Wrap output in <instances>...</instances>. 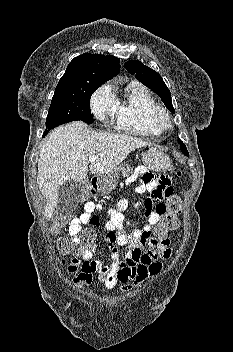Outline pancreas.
<instances>
[{"label":"pancreas","mask_w":233,"mask_h":352,"mask_svg":"<svg viewBox=\"0 0 233 352\" xmlns=\"http://www.w3.org/2000/svg\"><path fill=\"white\" fill-rule=\"evenodd\" d=\"M131 170H132V167L130 166L123 167L121 169L122 176L127 177L130 174Z\"/></svg>","instance_id":"cf45deb5"}]
</instances>
